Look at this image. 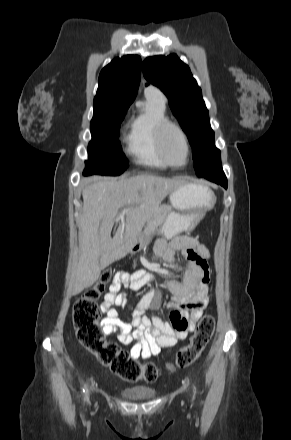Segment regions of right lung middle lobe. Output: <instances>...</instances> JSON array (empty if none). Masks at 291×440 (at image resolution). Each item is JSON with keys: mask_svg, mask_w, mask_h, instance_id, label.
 Returning <instances> with one entry per match:
<instances>
[{"mask_svg": "<svg viewBox=\"0 0 291 440\" xmlns=\"http://www.w3.org/2000/svg\"><path fill=\"white\" fill-rule=\"evenodd\" d=\"M129 106L104 105L94 107L90 123L92 140L84 175H120L128 165L119 143V127Z\"/></svg>", "mask_w": 291, "mask_h": 440, "instance_id": "1", "label": "right lung middle lobe"}]
</instances>
